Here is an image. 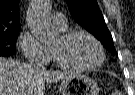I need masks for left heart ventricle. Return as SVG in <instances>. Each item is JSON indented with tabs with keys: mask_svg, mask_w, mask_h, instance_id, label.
Listing matches in <instances>:
<instances>
[{
	"mask_svg": "<svg viewBox=\"0 0 135 95\" xmlns=\"http://www.w3.org/2000/svg\"><path fill=\"white\" fill-rule=\"evenodd\" d=\"M51 47L62 60L72 64L89 66L96 64L100 59L97 46L84 35H77L66 42L59 36Z\"/></svg>",
	"mask_w": 135,
	"mask_h": 95,
	"instance_id": "obj_1",
	"label": "left heart ventricle"
}]
</instances>
